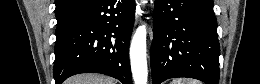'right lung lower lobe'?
Returning <instances> with one entry per match:
<instances>
[{"mask_svg": "<svg viewBox=\"0 0 260 84\" xmlns=\"http://www.w3.org/2000/svg\"><path fill=\"white\" fill-rule=\"evenodd\" d=\"M135 0H94L56 29L54 78L102 73L132 84L129 43Z\"/></svg>", "mask_w": 260, "mask_h": 84, "instance_id": "obj_1", "label": "right lung lower lobe"}]
</instances>
